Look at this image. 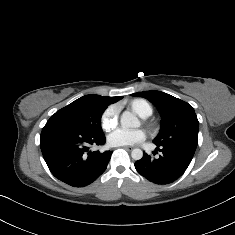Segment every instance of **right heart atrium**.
<instances>
[{
    "mask_svg": "<svg viewBox=\"0 0 235 235\" xmlns=\"http://www.w3.org/2000/svg\"><path fill=\"white\" fill-rule=\"evenodd\" d=\"M119 121V107L116 104H111L105 108L100 117V124L103 130L111 131Z\"/></svg>",
    "mask_w": 235,
    "mask_h": 235,
    "instance_id": "obj_1",
    "label": "right heart atrium"
}]
</instances>
